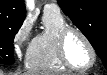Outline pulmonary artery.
Returning <instances> with one entry per match:
<instances>
[{"mask_svg": "<svg viewBox=\"0 0 107 75\" xmlns=\"http://www.w3.org/2000/svg\"><path fill=\"white\" fill-rule=\"evenodd\" d=\"M44 12L60 13L59 8L55 4H47V5H45Z\"/></svg>", "mask_w": 107, "mask_h": 75, "instance_id": "obj_1", "label": "pulmonary artery"}]
</instances>
